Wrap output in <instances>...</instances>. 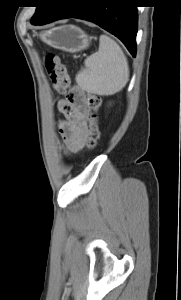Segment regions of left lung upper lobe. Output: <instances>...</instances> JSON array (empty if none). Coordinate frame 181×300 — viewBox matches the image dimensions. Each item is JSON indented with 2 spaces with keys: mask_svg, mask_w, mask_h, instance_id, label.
<instances>
[{
  "mask_svg": "<svg viewBox=\"0 0 181 300\" xmlns=\"http://www.w3.org/2000/svg\"><path fill=\"white\" fill-rule=\"evenodd\" d=\"M34 3L38 4V7L35 14L31 18V23L33 25H39L52 11L56 0H36Z\"/></svg>",
  "mask_w": 181,
  "mask_h": 300,
  "instance_id": "5c2ea615",
  "label": "left lung upper lobe"
}]
</instances>
